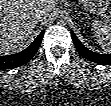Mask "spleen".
<instances>
[{"label": "spleen", "mask_w": 111, "mask_h": 106, "mask_svg": "<svg viewBox=\"0 0 111 106\" xmlns=\"http://www.w3.org/2000/svg\"><path fill=\"white\" fill-rule=\"evenodd\" d=\"M91 31L97 38L101 47L108 52H111V23L94 21L91 24Z\"/></svg>", "instance_id": "3e777b00"}]
</instances>
